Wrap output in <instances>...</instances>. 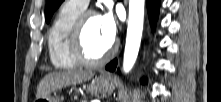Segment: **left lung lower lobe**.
Masks as SVG:
<instances>
[{
    "mask_svg": "<svg viewBox=\"0 0 221 102\" xmlns=\"http://www.w3.org/2000/svg\"><path fill=\"white\" fill-rule=\"evenodd\" d=\"M146 2H147V8H148L150 21H151L152 26H154L157 20V16H158L159 0H146ZM116 67H117V59L110 62L106 66V69L109 71H114ZM143 82L145 83L146 80H143Z\"/></svg>",
    "mask_w": 221,
    "mask_h": 102,
    "instance_id": "obj_1",
    "label": "left lung lower lobe"
}]
</instances>
